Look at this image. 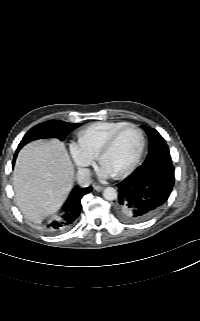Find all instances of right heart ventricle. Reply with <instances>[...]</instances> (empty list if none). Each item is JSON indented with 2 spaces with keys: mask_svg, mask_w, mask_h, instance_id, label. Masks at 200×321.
<instances>
[{
  "mask_svg": "<svg viewBox=\"0 0 200 321\" xmlns=\"http://www.w3.org/2000/svg\"><path fill=\"white\" fill-rule=\"evenodd\" d=\"M125 121H101L92 123L78 132V142L80 145L97 156L102 145L119 128L125 126Z\"/></svg>",
  "mask_w": 200,
  "mask_h": 321,
  "instance_id": "right-heart-ventricle-1",
  "label": "right heart ventricle"
}]
</instances>
